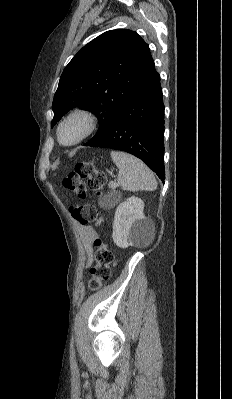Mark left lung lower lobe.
<instances>
[{
  "mask_svg": "<svg viewBox=\"0 0 232 399\" xmlns=\"http://www.w3.org/2000/svg\"><path fill=\"white\" fill-rule=\"evenodd\" d=\"M163 138L164 104L160 75L150 54L109 131L89 146L128 152L145 162L164 182Z\"/></svg>",
  "mask_w": 232,
  "mask_h": 399,
  "instance_id": "0a47b994",
  "label": "left lung lower lobe"
}]
</instances>
